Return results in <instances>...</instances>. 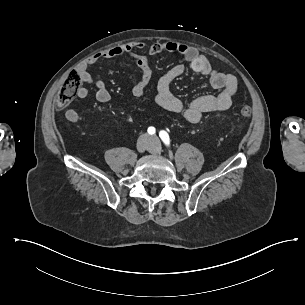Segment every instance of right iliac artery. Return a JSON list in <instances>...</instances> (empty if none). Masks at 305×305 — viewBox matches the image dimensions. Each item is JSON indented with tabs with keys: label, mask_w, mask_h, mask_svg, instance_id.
<instances>
[{
	"label": "right iliac artery",
	"mask_w": 305,
	"mask_h": 305,
	"mask_svg": "<svg viewBox=\"0 0 305 305\" xmlns=\"http://www.w3.org/2000/svg\"><path fill=\"white\" fill-rule=\"evenodd\" d=\"M147 131H148V133H149L150 135H153V134H155L156 129H155L154 127L151 126V127L148 128Z\"/></svg>",
	"instance_id": "right-iliac-artery-1"
}]
</instances>
